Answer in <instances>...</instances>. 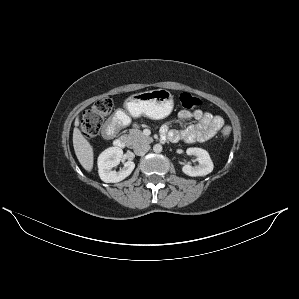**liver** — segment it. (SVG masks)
<instances>
[{"mask_svg": "<svg viewBox=\"0 0 299 299\" xmlns=\"http://www.w3.org/2000/svg\"><path fill=\"white\" fill-rule=\"evenodd\" d=\"M79 126V118L77 117L75 120V128L73 130V147L75 150V154L82 165V167L91 171L93 168V148L90 143L85 139V137L81 134V131L78 129Z\"/></svg>", "mask_w": 299, "mask_h": 299, "instance_id": "obj_1", "label": "liver"}]
</instances>
